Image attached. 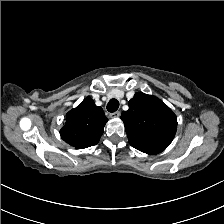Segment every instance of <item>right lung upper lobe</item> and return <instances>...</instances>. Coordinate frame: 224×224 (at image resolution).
<instances>
[{"mask_svg": "<svg viewBox=\"0 0 224 224\" xmlns=\"http://www.w3.org/2000/svg\"><path fill=\"white\" fill-rule=\"evenodd\" d=\"M107 121L102 108L96 106L90 97H86L66 114L60 135L76 149L87 148L98 143Z\"/></svg>", "mask_w": 224, "mask_h": 224, "instance_id": "right-lung-upper-lobe-1", "label": "right lung upper lobe"}]
</instances>
